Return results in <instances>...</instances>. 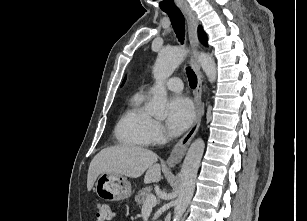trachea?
Listing matches in <instances>:
<instances>
[{"mask_svg":"<svg viewBox=\"0 0 307 221\" xmlns=\"http://www.w3.org/2000/svg\"><path fill=\"white\" fill-rule=\"evenodd\" d=\"M170 17L174 32L178 40L183 44L185 37V20L184 16L178 8L164 10ZM187 75L189 80V85L192 89H195L197 86V77L193 70L190 67H187Z\"/></svg>","mask_w":307,"mask_h":221,"instance_id":"trachea-1","label":"trachea"}]
</instances>
